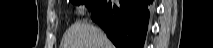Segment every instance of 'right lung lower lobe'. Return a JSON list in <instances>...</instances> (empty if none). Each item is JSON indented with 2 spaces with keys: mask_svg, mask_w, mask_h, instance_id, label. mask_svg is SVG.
<instances>
[{
  "mask_svg": "<svg viewBox=\"0 0 213 48\" xmlns=\"http://www.w3.org/2000/svg\"><path fill=\"white\" fill-rule=\"evenodd\" d=\"M152 0H98L91 9L92 19L107 33L117 48H142Z\"/></svg>",
  "mask_w": 213,
  "mask_h": 48,
  "instance_id": "98d812e1",
  "label": "right lung lower lobe"
}]
</instances>
